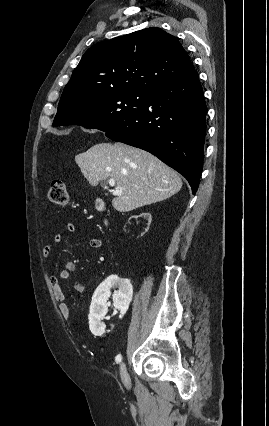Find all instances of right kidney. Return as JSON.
<instances>
[{
  "instance_id": "obj_1",
  "label": "right kidney",
  "mask_w": 269,
  "mask_h": 426,
  "mask_svg": "<svg viewBox=\"0 0 269 426\" xmlns=\"http://www.w3.org/2000/svg\"><path fill=\"white\" fill-rule=\"evenodd\" d=\"M137 221H143L144 223L141 225V232L144 235H147L150 232L151 225V214L142 213L140 216L135 218ZM130 221L134 220L133 216L129 217ZM139 233L138 237L142 238L143 234ZM113 287H118L117 291L113 293V302L116 308L121 310V315L126 312L129 303L132 298V285L128 280L120 279L117 276H111L107 278L95 291L94 296L92 298V304L90 307L89 314V328L92 334L95 336H102L105 333V325L102 322L103 317L106 315L107 308V300L111 295V289Z\"/></svg>"
}]
</instances>
